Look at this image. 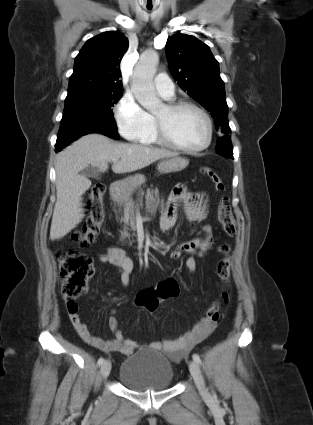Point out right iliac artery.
<instances>
[{"label":"right iliac artery","instance_id":"right-iliac-artery-1","mask_svg":"<svg viewBox=\"0 0 313 425\" xmlns=\"http://www.w3.org/2000/svg\"><path fill=\"white\" fill-rule=\"evenodd\" d=\"M103 363H104V358H103V357H100V358L98 359L97 364L100 366V365H102Z\"/></svg>","mask_w":313,"mask_h":425}]
</instances>
